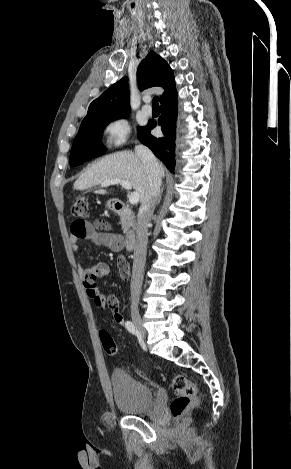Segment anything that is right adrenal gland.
<instances>
[{
  "label": "right adrenal gland",
  "instance_id": "obj_1",
  "mask_svg": "<svg viewBox=\"0 0 291 469\" xmlns=\"http://www.w3.org/2000/svg\"><path fill=\"white\" fill-rule=\"evenodd\" d=\"M160 199H161V194L159 195V198H158L157 204H159V203H160Z\"/></svg>",
  "mask_w": 291,
  "mask_h": 469
}]
</instances>
